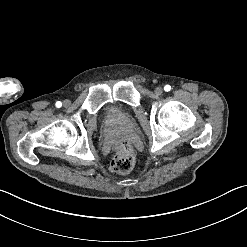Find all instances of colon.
Returning a JSON list of instances; mask_svg holds the SVG:
<instances>
[{"label": "colon", "mask_w": 247, "mask_h": 247, "mask_svg": "<svg viewBox=\"0 0 247 247\" xmlns=\"http://www.w3.org/2000/svg\"><path fill=\"white\" fill-rule=\"evenodd\" d=\"M136 164V154L127 142L117 145V155L111 162L110 170L116 174L129 172Z\"/></svg>", "instance_id": "obj_1"}]
</instances>
